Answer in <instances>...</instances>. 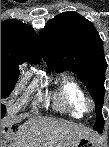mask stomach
<instances>
[{"mask_svg":"<svg viewBox=\"0 0 109 147\" xmlns=\"http://www.w3.org/2000/svg\"><path fill=\"white\" fill-rule=\"evenodd\" d=\"M76 147H98L97 143L89 138H80Z\"/></svg>","mask_w":109,"mask_h":147,"instance_id":"stomach-1","label":"stomach"}]
</instances>
